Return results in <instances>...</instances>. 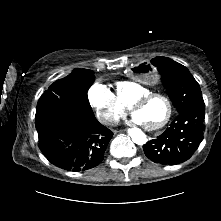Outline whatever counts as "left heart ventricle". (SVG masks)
Listing matches in <instances>:
<instances>
[{"label":"left heart ventricle","instance_id":"obj_1","mask_svg":"<svg viewBox=\"0 0 221 221\" xmlns=\"http://www.w3.org/2000/svg\"><path fill=\"white\" fill-rule=\"evenodd\" d=\"M168 105L162 98L156 97L149 100L144 106L137 108V116L143 124L153 126L160 123L166 116Z\"/></svg>","mask_w":221,"mask_h":221}]
</instances>
